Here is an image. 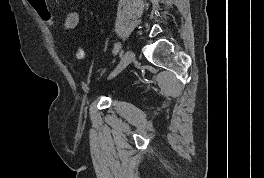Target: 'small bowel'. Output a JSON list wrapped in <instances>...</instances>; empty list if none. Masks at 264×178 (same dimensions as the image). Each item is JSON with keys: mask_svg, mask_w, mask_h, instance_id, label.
Here are the masks:
<instances>
[{"mask_svg": "<svg viewBox=\"0 0 264 178\" xmlns=\"http://www.w3.org/2000/svg\"><path fill=\"white\" fill-rule=\"evenodd\" d=\"M79 13L75 10L70 11L63 20L62 27L65 31L74 29L79 23Z\"/></svg>", "mask_w": 264, "mask_h": 178, "instance_id": "1", "label": "small bowel"}]
</instances>
